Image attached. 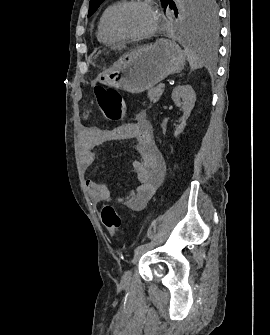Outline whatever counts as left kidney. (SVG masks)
<instances>
[{
    "label": "left kidney",
    "mask_w": 270,
    "mask_h": 335,
    "mask_svg": "<svg viewBox=\"0 0 270 335\" xmlns=\"http://www.w3.org/2000/svg\"><path fill=\"white\" fill-rule=\"evenodd\" d=\"M173 102H175L178 108H182L183 116L182 122L178 128H176L174 132L175 138L182 134L186 124V120H188L191 110L194 108V104L196 102V94L192 88V86H176L172 92L171 96ZM181 98L183 102H181Z\"/></svg>",
    "instance_id": "obj_1"
}]
</instances>
